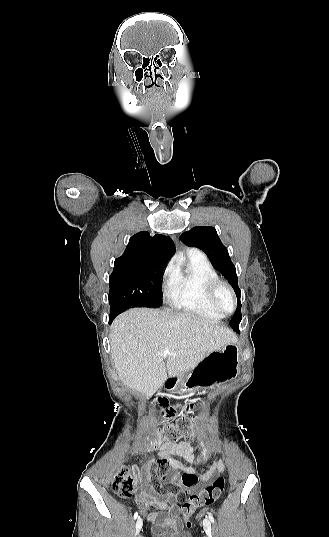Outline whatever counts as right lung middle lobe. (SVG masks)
I'll use <instances>...</instances> for the list:
<instances>
[{
	"label": "right lung middle lobe",
	"instance_id": "obj_1",
	"mask_svg": "<svg viewBox=\"0 0 329 537\" xmlns=\"http://www.w3.org/2000/svg\"><path fill=\"white\" fill-rule=\"evenodd\" d=\"M165 265L153 264L113 270L109 277V317L115 318L125 308L135 305L161 306V276Z\"/></svg>",
	"mask_w": 329,
	"mask_h": 537
}]
</instances>
